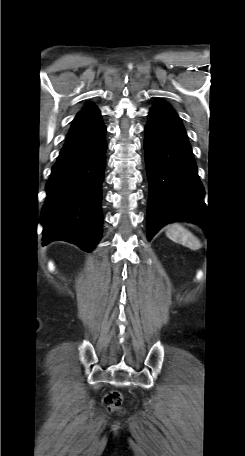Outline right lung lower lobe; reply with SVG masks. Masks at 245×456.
I'll return each mask as SVG.
<instances>
[{
	"instance_id": "right-lung-lower-lobe-1",
	"label": "right lung lower lobe",
	"mask_w": 245,
	"mask_h": 456,
	"mask_svg": "<svg viewBox=\"0 0 245 456\" xmlns=\"http://www.w3.org/2000/svg\"><path fill=\"white\" fill-rule=\"evenodd\" d=\"M106 127L85 145L62 149L46 184L41 213L43 244L74 243L91 252L102 235V192Z\"/></svg>"
}]
</instances>
